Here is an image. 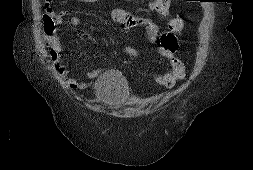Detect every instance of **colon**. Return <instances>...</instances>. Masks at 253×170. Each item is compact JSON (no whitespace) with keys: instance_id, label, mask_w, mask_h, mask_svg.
<instances>
[{"instance_id":"colon-1","label":"colon","mask_w":253,"mask_h":170,"mask_svg":"<svg viewBox=\"0 0 253 170\" xmlns=\"http://www.w3.org/2000/svg\"><path fill=\"white\" fill-rule=\"evenodd\" d=\"M175 27H180L181 24L179 22L174 23ZM54 28V18L50 15H46L45 20H44V30L46 32H51ZM51 56L53 59L57 57V51L56 49L52 48L51 50Z\"/></svg>"}]
</instances>
